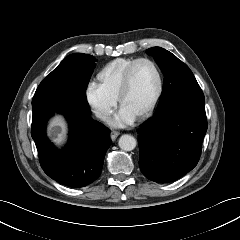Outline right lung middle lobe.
<instances>
[{"instance_id": "right-lung-middle-lobe-1", "label": "right lung middle lobe", "mask_w": 240, "mask_h": 240, "mask_svg": "<svg viewBox=\"0 0 240 240\" xmlns=\"http://www.w3.org/2000/svg\"><path fill=\"white\" fill-rule=\"evenodd\" d=\"M88 54L67 56L38 86L32 106L44 102L73 104L89 108L86 89L96 66Z\"/></svg>"}]
</instances>
